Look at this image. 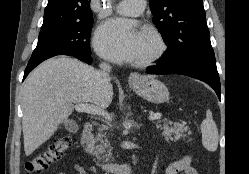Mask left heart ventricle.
Wrapping results in <instances>:
<instances>
[{
  "label": "left heart ventricle",
  "instance_id": "obj_1",
  "mask_svg": "<svg viewBox=\"0 0 249 174\" xmlns=\"http://www.w3.org/2000/svg\"><path fill=\"white\" fill-rule=\"evenodd\" d=\"M154 49H155V43L151 35L144 31L139 32L137 37L135 60H138L148 55Z\"/></svg>",
  "mask_w": 249,
  "mask_h": 174
}]
</instances>
